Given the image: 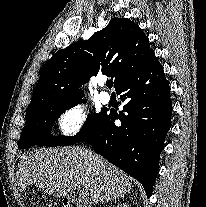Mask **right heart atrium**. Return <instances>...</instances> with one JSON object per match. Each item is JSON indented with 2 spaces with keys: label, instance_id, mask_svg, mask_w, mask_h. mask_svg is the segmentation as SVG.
<instances>
[{
  "label": "right heart atrium",
  "instance_id": "obj_1",
  "mask_svg": "<svg viewBox=\"0 0 206 207\" xmlns=\"http://www.w3.org/2000/svg\"><path fill=\"white\" fill-rule=\"evenodd\" d=\"M89 113L84 104L75 102L64 108L57 118L58 131L62 136L74 137L86 126Z\"/></svg>",
  "mask_w": 206,
  "mask_h": 207
}]
</instances>
